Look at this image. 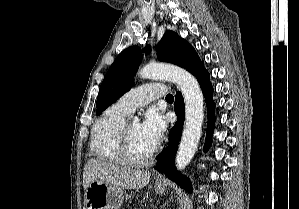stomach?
<instances>
[{
  "label": "stomach",
  "instance_id": "1",
  "mask_svg": "<svg viewBox=\"0 0 299 209\" xmlns=\"http://www.w3.org/2000/svg\"><path fill=\"white\" fill-rule=\"evenodd\" d=\"M154 189L158 194H164L166 186L156 182ZM124 200L123 189L93 181L85 191V209H119Z\"/></svg>",
  "mask_w": 299,
  "mask_h": 209
}]
</instances>
